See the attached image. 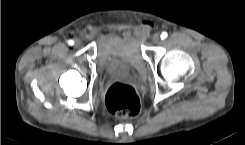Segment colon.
<instances>
[{
	"label": "colon",
	"mask_w": 245,
	"mask_h": 145,
	"mask_svg": "<svg viewBox=\"0 0 245 145\" xmlns=\"http://www.w3.org/2000/svg\"><path fill=\"white\" fill-rule=\"evenodd\" d=\"M146 24L141 22V25ZM109 111L118 117L134 116L140 110V101L135 88L122 82H114L107 90L105 97Z\"/></svg>",
	"instance_id": "colon-1"
}]
</instances>
